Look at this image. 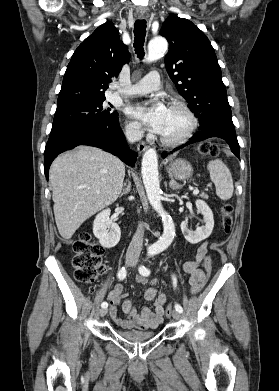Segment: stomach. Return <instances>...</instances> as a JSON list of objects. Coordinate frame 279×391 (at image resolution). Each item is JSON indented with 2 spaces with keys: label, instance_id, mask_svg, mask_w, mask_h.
<instances>
[{
  "label": "stomach",
  "instance_id": "1",
  "mask_svg": "<svg viewBox=\"0 0 279 391\" xmlns=\"http://www.w3.org/2000/svg\"><path fill=\"white\" fill-rule=\"evenodd\" d=\"M168 173L176 179L186 180L192 176L193 168L188 161L184 159H177L169 165Z\"/></svg>",
  "mask_w": 279,
  "mask_h": 391
}]
</instances>
